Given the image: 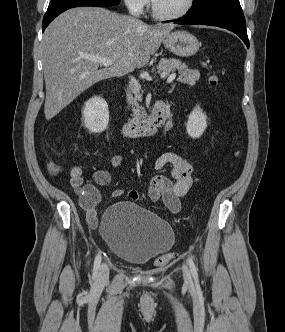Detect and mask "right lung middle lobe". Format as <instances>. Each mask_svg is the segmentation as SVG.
<instances>
[{
	"instance_id": "dd1d6c3e",
	"label": "right lung middle lobe",
	"mask_w": 285,
	"mask_h": 332,
	"mask_svg": "<svg viewBox=\"0 0 285 332\" xmlns=\"http://www.w3.org/2000/svg\"><path fill=\"white\" fill-rule=\"evenodd\" d=\"M63 1H71V0H51V4L55 3V2H63ZM87 1H95V2H99V3H103L106 5H117L120 3V0H87Z\"/></svg>"
}]
</instances>
